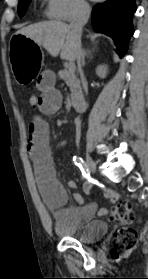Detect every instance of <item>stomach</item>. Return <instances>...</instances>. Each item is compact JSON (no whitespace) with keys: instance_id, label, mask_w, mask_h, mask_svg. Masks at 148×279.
<instances>
[{"instance_id":"stomach-1","label":"stomach","mask_w":148,"mask_h":279,"mask_svg":"<svg viewBox=\"0 0 148 279\" xmlns=\"http://www.w3.org/2000/svg\"><path fill=\"white\" fill-rule=\"evenodd\" d=\"M11 50V69L18 83H29L36 75H40L43 69V51L41 46L26 34H13L10 39Z\"/></svg>"}]
</instances>
